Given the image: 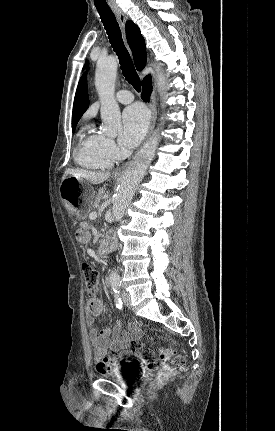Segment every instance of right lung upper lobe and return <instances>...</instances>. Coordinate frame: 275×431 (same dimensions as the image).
Segmentation results:
<instances>
[{
    "label": "right lung upper lobe",
    "mask_w": 275,
    "mask_h": 431,
    "mask_svg": "<svg viewBox=\"0 0 275 431\" xmlns=\"http://www.w3.org/2000/svg\"><path fill=\"white\" fill-rule=\"evenodd\" d=\"M126 38L132 50L134 63L138 71L142 70L146 65L147 54L145 41L142 37L137 25L132 21L126 22ZM89 106V98L87 93V80L83 76L78 84L72 113V126L77 125L79 119L84 114Z\"/></svg>",
    "instance_id": "right-lung-upper-lobe-1"
}]
</instances>
